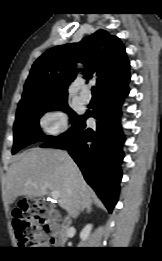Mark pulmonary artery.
I'll return each mask as SVG.
<instances>
[{"instance_id": "1", "label": "pulmonary artery", "mask_w": 162, "mask_h": 261, "mask_svg": "<svg viewBox=\"0 0 162 261\" xmlns=\"http://www.w3.org/2000/svg\"><path fill=\"white\" fill-rule=\"evenodd\" d=\"M79 96L84 102H89L92 99V94L88 89H82Z\"/></svg>"}]
</instances>
